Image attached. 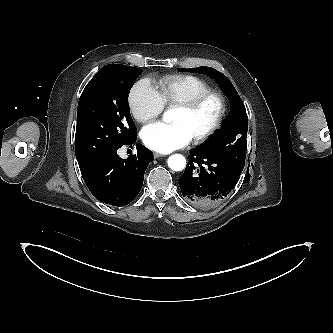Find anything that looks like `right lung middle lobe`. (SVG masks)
<instances>
[{
    "label": "right lung middle lobe",
    "mask_w": 333,
    "mask_h": 333,
    "mask_svg": "<svg viewBox=\"0 0 333 333\" xmlns=\"http://www.w3.org/2000/svg\"><path fill=\"white\" fill-rule=\"evenodd\" d=\"M142 71L131 66L108 64L85 87L78 103L75 135L79 166L120 148L136 135L128 96Z\"/></svg>",
    "instance_id": "obj_1"
}]
</instances>
